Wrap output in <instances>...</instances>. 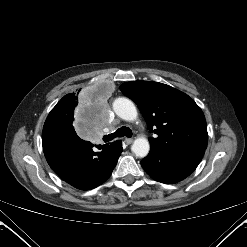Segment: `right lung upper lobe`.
<instances>
[{"mask_svg":"<svg viewBox=\"0 0 247 247\" xmlns=\"http://www.w3.org/2000/svg\"><path fill=\"white\" fill-rule=\"evenodd\" d=\"M77 98V95L72 93V94H67L64 96L57 104H62L64 102L72 101Z\"/></svg>","mask_w":247,"mask_h":247,"instance_id":"right-lung-upper-lobe-1","label":"right lung upper lobe"}]
</instances>
